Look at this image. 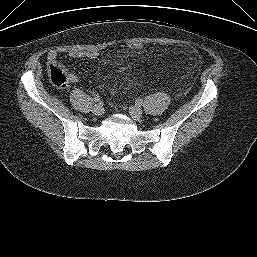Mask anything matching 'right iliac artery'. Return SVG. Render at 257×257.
<instances>
[{
  "mask_svg": "<svg viewBox=\"0 0 257 257\" xmlns=\"http://www.w3.org/2000/svg\"><path fill=\"white\" fill-rule=\"evenodd\" d=\"M93 101L97 103V102H100L101 99H100L99 96H95V97L93 98Z\"/></svg>",
  "mask_w": 257,
  "mask_h": 257,
  "instance_id": "right-iliac-artery-1",
  "label": "right iliac artery"
}]
</instances>
